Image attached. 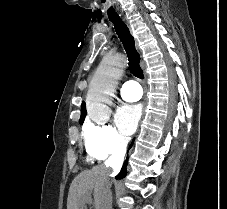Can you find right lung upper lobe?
<instances>
[{
	"instance_id": "right-lung-upper-lobe-1",
	"label": "right lung upper lobe",
	"mask_w": 227,
	"mask_h": 209,
	"mask_svg": "<svg viewBox=\"0 0 227 209\" xmlns=\"http://www.w3.org/2000/svg\"><path fill=\"white\" fill-rule=\"evenodd\" d=\"M85 116H86V107H85V102H82V105H81V117H80V120H81V119H85Z\"/></svg>"
}]
</instances>
